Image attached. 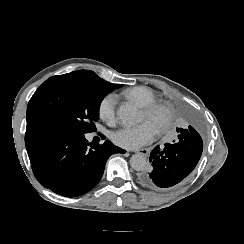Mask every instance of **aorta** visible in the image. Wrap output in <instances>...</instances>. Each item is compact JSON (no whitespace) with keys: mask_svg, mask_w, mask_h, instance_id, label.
Instances as JSON below:
<instances>
[{"mask_svg":"<svg viewBox=\"0 0 244 244\" xmlns=\"http://www.w3.org/2000/svg\"><path fill=\"white\" fill-rule=\"evenodd\" d=\"M118 117L127 126H132L140 122L139 110L130 102H125L119 107ZM130 166L135 171H142L147 166V159L142 154H135L130 158Z\"/></svg>","mask_w":244,"mask_h":244,"instance_id":"762f6f07","label":"aorta"}]
</instances>
